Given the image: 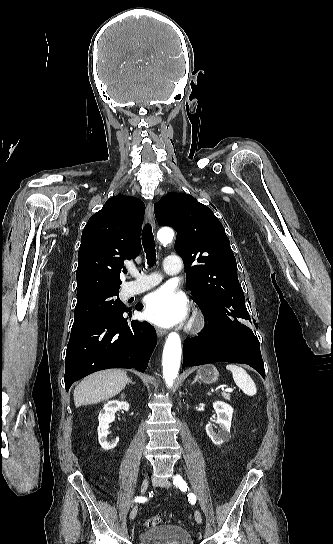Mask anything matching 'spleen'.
Returning a JSON list of instances; mask_svg holds the SVG:
<instances>
[{
  "label": "spleen",
  "instance_id": "1",
  "mask_svg": "<svg viewBox=\"0 0 333 544\" xmlns=\"http://www.w3.org/2000/svg\"><path fill=\"white\" fill-rule=\"evenodd\" d=\"M226 369L232 372L234 382L245 394L248 396H254L256 394L257 389L255 383L243 368L234 364H228Z\"/></svg>",
  "mask_w": 333,
  "mask_h": 544
}]
</instances>
